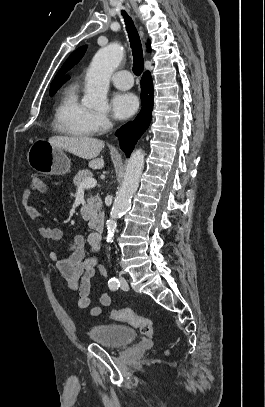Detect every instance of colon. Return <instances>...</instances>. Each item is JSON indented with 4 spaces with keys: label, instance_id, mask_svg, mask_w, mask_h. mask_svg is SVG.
Returning a JSON list of instances; mask_svg holds the SVG:
<instances>
[{
    "label": "colon",
    "instance_id": "1",
    "mask_svg": "<svg viewBox=\"0 0 265 407\" xmlns=\"http://www.w3.org/2000/svg\"><path fill=\"white\" fill-rule=\"evenodd\" d=\"M31 188L38 192L45 191V183L43 178L37 174H31ZM110 317L116 321H124L131 326L138 328L142 334L152 337L154 335V325L152 320L137 315L129 309L113 310Z\"/></svg>",
    "mask_w": 265,
    "mask_h": 407
}]
</instances>
